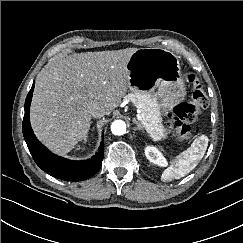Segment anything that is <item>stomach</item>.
Here are the masks:
<instances>
[{
  "mask_svg": "<svg viewBox=\"0 0 243 243\" xmlns=\"http://www.w3.org/2000/svg\"><path fill=\"white\" fill-rule=\"evenodd\" d=\"M127 70L132 92L151 93L157 89L159 102L155 104L160 116L166 115L186 95L179 60L171 51L163 48L137 49L127 63Z\"/></svg>",
  "mask_w": 243,
  "mask_h": 243,
  "instance_id": "0dacf381",
  "label": "stomach"
}]
</instances>
